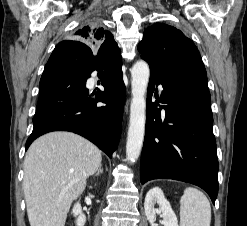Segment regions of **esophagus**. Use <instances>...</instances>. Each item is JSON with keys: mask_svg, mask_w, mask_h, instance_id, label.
I'll return each mask as SVG.
<instances>
[{"mask_svg": "<svg viewBox=\"0 0 247 226\" xmlns=\"http://www.w3.org/2000/svg\"><path fill=\"white\" fill-rule=\"evenodd\" d=\"M125 111H128V104L125 105Z\"/></svg>", "mask_w": 247, "mask_h": 226, "instance_id": "34e87169", "label": "esophagus"}]
</instances>
